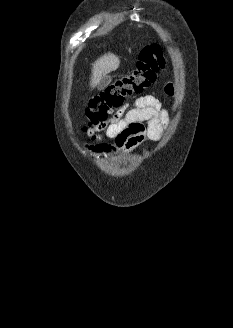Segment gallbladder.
<instances>
[{
    "label": "gallbladder",
    "instance_id": "obj_1",
    "mask_svg": "<svg viewBox=\"0 0 233 328\" xmlns=\"http://www.w3.org/2000/svg\"><path fill=\"white\" fill-rule=\"evenodd\" d=\"M112 81V78L108 75L103 76L98 84V89L103 90L106 88Z\"/></svg>",
    "mask_w": 233,
    "mask_h": 328
}]
</instances>
